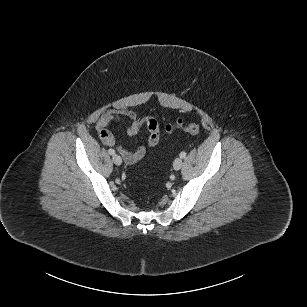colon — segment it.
<instances>
[{
  "instance_id": "5ec220e1",
  "label": "colon",
  "mask_w": 307,
  "mask_h": 307,
  "mask_svg": "<svg viewBox=\"0 0 307 307\" xmlns=\"http://www.w3.org/2000/svg\"><path fill=\"white\" fill-rule=\"evenodd\" d=\"M183 129L184 131L196 135L200 132V126L195 123H184L182 120H177L176 122L166 126V132L171 134L175 129Z\"/></svg>"
}]
</instances>
